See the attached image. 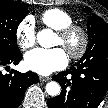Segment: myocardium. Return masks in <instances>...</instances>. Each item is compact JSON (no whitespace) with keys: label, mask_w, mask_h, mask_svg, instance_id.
<instances>
[{"label":"myocardium","mask_w":108,"mask_h":108,"mask_svg":"<svg viewBox=\"0 0 108 108\" xmlns=\"http://www.w3.org/2000/svg\"><path fill=\"white\" fill-rule=\"evenodd\" d=\"M58 36L62 41V46L67 50L68 54L73 59L82 57L89 46V36L85 28L79 25H70L58 31ZM77 37L79 44L77 47L72 48L69 42L72 38Z\"/></svg>","instance_id":"1"}]
</instances>
